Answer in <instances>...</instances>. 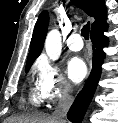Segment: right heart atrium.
<instances>
[{"label": "right heart atrium", "instance_id": "obj_1", "mask_svg": "<svg viewBox=\"0 0 118 123\" xmlns=\"http://www.w3.org/2000/svg\"><path fill=\"white\" fill-rule=\"evenodd\" d=\"M37 87L47 102L56 104L66 98L71 86L57 66L46 58H40L35 65Z\"/></svg>", "mask_w": 118, "mask_h": 123}]
</instances>
